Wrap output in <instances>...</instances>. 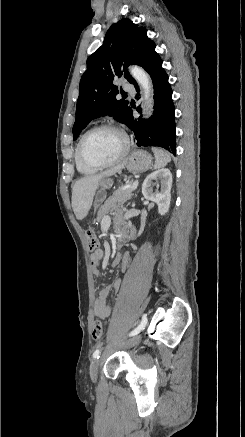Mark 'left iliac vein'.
<instances>
[{
  "label": "left iliac vein",
  "instance_id": "4c4485c4",
  "mask_svg": "<svg viewBox=\"0 0 245 437\" xmlns=\"http://www.w3.org/2000/svg\"><path fill=\"white\" fill-rule=\"evenodd\" d=\"M139 339H140V335H136L135 337H133L132 339L127 341L124 344V346H133L139 341ZM100 363H101V358L100 359L98 358V359H95L90 365L89 373H90L91 380L93 382H96V380H97L98 368H99Z\"/></svg>",
  "mask_w": 245,
  "mask_h": 437
}]
</instances>
